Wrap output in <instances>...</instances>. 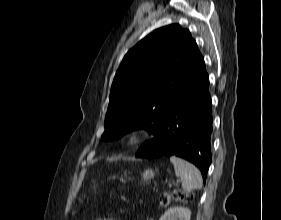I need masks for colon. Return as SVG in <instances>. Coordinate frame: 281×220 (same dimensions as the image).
<instances>
[{
    "mask_svg": "<svg viewBox=\"0 0 281 220\" xmlns=\"http://www.w3.org/2000/svg\"><path fill=\"white\" fill-rule=\"evenodd\" d=\"M173 197L178 201L188 202L192 199V194L187 191H177L173 194ZM170 199H171V195H169L168 193H163L160 197V202L163 205H166L170 202Z\"/></svg>",
    "mask_w": 281,
    "mask_h": 220,
    "instance_id": "obj_1",
    "label": "colon"
}]
</instances>
